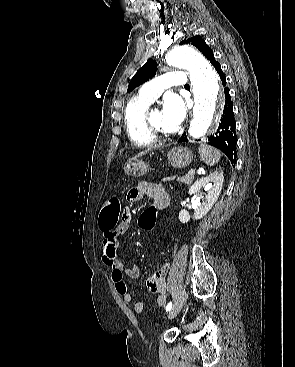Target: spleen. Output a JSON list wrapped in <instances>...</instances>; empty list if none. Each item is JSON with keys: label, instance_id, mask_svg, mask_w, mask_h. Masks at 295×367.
Returning a JSON list of instances; mask_svg holds the SVG:
<instances>
[{"label": "spleen", "instance_id": "3e777b00", "mask_svg": "<svg viewBox=\"0 0 295 367\" xmlns=\"http://www.w3.org/2000/svg\"><path fill=\"white\" fill-rule=\"evenodd\" d=\"M198 151L202 160L208 166H214L216 163L219 162L221 158V153L219 152V150L207 144H201L198 148Z\"/></svg>", "mask_w": 295, "mask_h": 367}]
</instances>
